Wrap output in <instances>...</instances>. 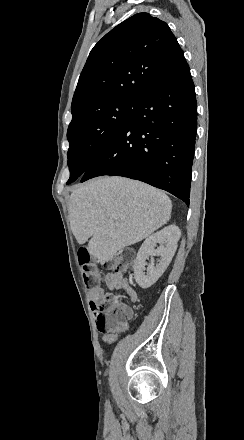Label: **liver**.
Here are the masks:
<instances>
[{
	"label": "liver",
	"mask_w": 244,
	"mask_h": 440,
	"mask_svg": "<svg viewBox=\"0 0 244 440\" xmlns=\"http://www.w3.org/2000/svg\"><path fill=\"white\" fill-rule=\"evenodd\" d=\"M70 226L78 244L98 262H109L118 250L148 238L171 218L168 196L148 184L100 176L71 194ZM119 222V224H116Z\"/></svg>",
	"instance_id": "obj_1"
}]
</instances>
